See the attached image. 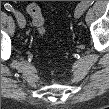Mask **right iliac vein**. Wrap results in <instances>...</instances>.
I'll return each mask as SVG.
<instances>
[{
  "mask_svg": "<svg viewBox=\"0 0 109 109\" xmlns=\"http://www.w3.org/2000/svg\"><path fill=\"white\" fill-rule=\"evenodd\" d=\"M17 22H18V26L20 28H22V29L25 28L26 20H25L24 16L21 13H18Z\"/></svg>",
  "mask_w": 109,
  "mask_h": 109,
  "instance_id": "63e3f726",
  "label": "right iliac vein"
}]
</instances>
